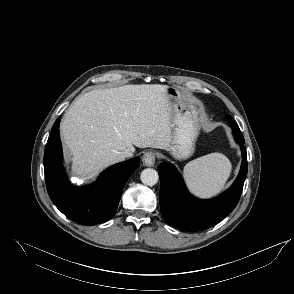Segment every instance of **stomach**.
Masks as SVG:
<instances>
[{
    "mask_svg": "<svg viewBox=\"0 0 294 294\" xmlns=\"http://www.w3.org/2000/svg\"><path fill=\"white\" fill-rule=\"evenodd\" d=\"M166 94L173 105V131L167 150L178 160L186 159L193 154L200 132L198 111L182 99L176 88L168 87Z\"/></svg>",
    "mask_w": 294,
    "mask_h": 294,
    "instance_id": "1",
    "label": "stomach"
}]
</instances>
